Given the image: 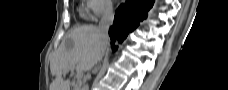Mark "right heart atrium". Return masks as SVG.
Wrapping results in <instances>:
<instances>
[{
	"instance_id": "1",
	"label": "right heart atrium",
	"mask_w": 228,
	"mask_h": 90,
	"mask_svg": "<svg viewBox=\"0 0 228 90\" xmlns=\"http://www.w3.org/2000/svg\"><path fill=\"white\" fill-rule=\"evenodd\" d=\"M86 18L96 20L112 13L113 5L110 0H86Z\"/></svg>"
}]
</instances>
